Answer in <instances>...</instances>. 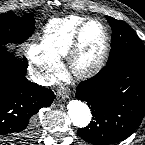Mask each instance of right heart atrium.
Returning a JSON list of instances; mask_svg holds the SVG:
<instances>
[{
	"label": "right heart atrium",
	"instance_id": "d8ad5b80",
	"mask_svg": "<svg viewBox=\"0 0 145 145\" xmlns=\"http://www.w3.org/2000/svg\"><path fill=\"white\" fill-rule=\"evenodd\" d=\"M31 60L41 79L52 80L60 70V61L41 55L36 47L31 52Z\"/></svg>",
	"mask_w": 145,
	"mask_h": 145
}]
</instances>
